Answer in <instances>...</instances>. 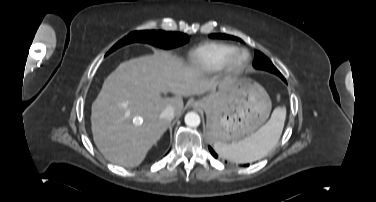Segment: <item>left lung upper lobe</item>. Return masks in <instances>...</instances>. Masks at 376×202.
<instances>
[{
	"mask_svg": "<svg viewBox=\"0 0 376 202\" xmlns=\"http://www.w3.org/2000/svg\"><path fill=\"white\" fill-rule=\"evenodd\" d=\"M211 38H221V39H231V40H237L241 42V39L226 35V34H211ZM253 66L256 69H262L269 72H272L276 75H278L281 79L283 78L282 74L277 70V68L272 64V62L261 52L255 51V60L253 62Z\"/></svg>",
	"mask_w": 376,
	"mask_h": 202,
	"instance_id": "obj_1",
	"label": "left lung upper lobe"
}]
</instances>
